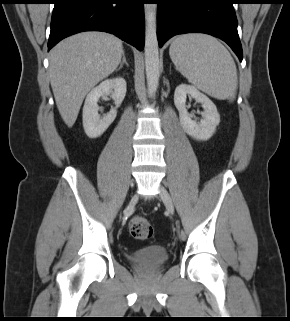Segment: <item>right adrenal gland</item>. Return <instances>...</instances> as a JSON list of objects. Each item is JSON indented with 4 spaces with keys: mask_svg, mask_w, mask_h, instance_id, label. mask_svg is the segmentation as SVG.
I'll return each mask as SVG.
<instances>
[{
    "mask_svg": "<svg viewBox=\"0 0 290 321\" xmlns=\"http://www.w3.org/2000/svg\"><path fill=\"white\" fill-rule=\"evenodd\" d=\"M122 56H123V57H122V61L120 62V65H119V67L116 69V71H119L120 69H122L124 64H126L127 66H129L128 62L126 61L125 53H123Z\"/></svg>",
    "mask_w": 290,
    "mask_h": 321,
    "instance_id": "right-adrenal-gland-1",
    "label": "right adrenal gland"
}]
</instances>
